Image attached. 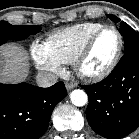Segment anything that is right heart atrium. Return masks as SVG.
<instances>
[{"mask_svg": "<svg viewBox=\"0 0 139 139\" xmlns=\"http://www.w3.org/2000/svg\"><path fill=\"white\" fill-rule=\"evenodd\" d=\"M31 55L40 70L52 73L62 72L61 63L51 55L44 43H33Z\"/></svg>", "mask_w": 139, "mask_h": 139, "instance_id": "1", "label": "right heart atrium"}]
</instances>
